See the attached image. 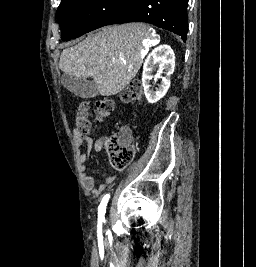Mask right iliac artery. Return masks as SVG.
Masks as SVG:
<instances>
[{
	"mask_svg": "<svg viewBox=\"0 0 256 267\" xmlns=\"http://www.w3.org/2000/svg\"><path fill=\"white\" fill-rule=\"evenodd\" d=\"M109 198L110 195L106 194L98 207V222H103L105 220L106 206Z\"/></svg>",
	"mask_w": 256,
	"mask_h": 267,
	"instance_id": "right-iliac-artery-1",
	"label": "right iliac artery"
}]
</instances>
